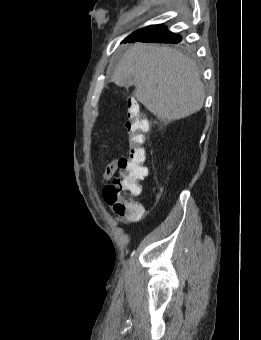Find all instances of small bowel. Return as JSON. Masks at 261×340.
<instances>
[{"mask_svg":"<svg viewBox=\"0 0 261 340\" xmlns=\"http://www.w3.org/2000/svg\"><path fill=\"white\" fill-rule=\"evenodd\" d=\"M120 158L116 157L108 163L103 173L102 180H110L118 170V161ZM144 211L138 215H125L123 218H118L117 222L121 225L137 222L143 215Z\"/></svg>","mask_w":261,"mask_h":340,"instance_id":"c3829d8e","label":"small bowel"}]
</instances>
